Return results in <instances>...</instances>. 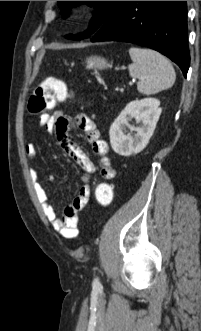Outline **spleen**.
<instances>
[{
    "label": "spleen",
    "instance_id": "spleen-1",
    "mask_svg": "<svg viewBox=\"0 0 201 331\" xmlns=\"http://www.w3.org/2000/svg\"><path fill=\"white\" fill-rule=\"evenodd\" d=\"M133 61L128 66L131 77L138 78L137 89L140 93L151 95L173 86L176 74L171 62L155 50L131 47Z\"/></svg>",
    "mask_w": 201,
    "mask_h": 331
}]
</instances>
